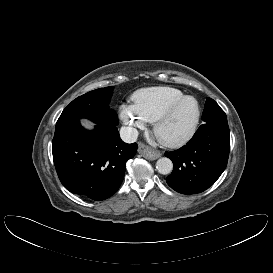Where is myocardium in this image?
<instances>
[{"instance_id":"obj_1","label":"myocardium","mask_w":273,"mask_h":273,"mask_svg":"<svg viewBox=\"0 0 273 273\" xmlns=\"http://www.w3.org/2000/svg\"><path fill=\"white\" fill-rule=\"evenodd\" d=\"M187 100L193 101L196 105V116H195L194 121H193L192 125L190 126L189 130L184 135L180 136L177 139L168 140V139L161 137L160 136V129H161L163 123L172 115L174 110L179 105H181L183 102H185ZM200 119H201V108H200L198 101L192 96H183V97L173 101L172 103H170L158 115V117L154 121L153 132H154L155 136L157 137V139L160 141V143H162L163 145H165L167 147H171V148H179V147H182L183 145H185L186 143H188L193 138V136L195 135V133L198 129Z\"/></svg>"}]
</instances>
